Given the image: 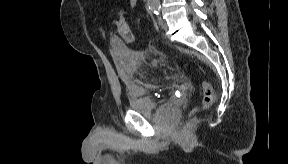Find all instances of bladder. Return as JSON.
<instances>
[{"instance_id": "obj_1", "label": "bladder", "mask_w": 288, "mask_h": 164, "mask_svg": "<svg viewBox=\"0 0 288 164\" xmlns=\"http://www.w3.org/2000/svg\"><path fill=\"white\" fill-rule=\"evenodd\" d=\"M110 46L117 64L129 75H134L143 61V57L130 49L122 40L110 39ZM160 104L157 91L152 87L137 86L131 89L129 109L142 114H151Z\"/></svg>"}]
</instances>
